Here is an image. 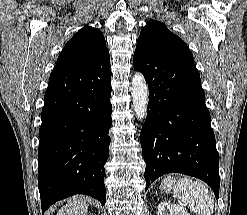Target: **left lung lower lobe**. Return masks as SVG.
<instances>
[{"mask_svg": "<svg viewBox=\"0 0 247 215\" xmlns=\"http://www.w3.org/2000/svg\"><path fill=\"white\" fill-rule=\"evenodd\" d=\"M133 65L149 86L140 133L146 189L161 175L182 173L205 181L218 199L219 155L194 62L137 44Z\"/></svg>", "mask_w": 247, "mask_h": 215, "instance_id": "obj_1", "label": "left lung lower lobe"}]
</instances>
